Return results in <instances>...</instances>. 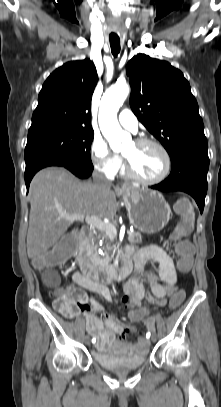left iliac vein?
<instances>
[{
	"label": "left iliac vein",
	"instance_id": "4c4485c4",
	"mask_svg": "<svg viewBox=\"0 0 221 407\" xmlns=\"http://www.w3.org/2000/svg\"><path fill=\"white\" fill-rule=\"evenodd\" d=\"M152 341H156V334L152 335ZM146 342H147V345H148L149 341L147 340Z\"/></svg>",
	"mask_w": 221,
	"mask_h": 407
}]
</instances>
